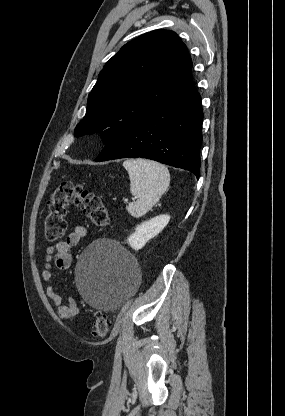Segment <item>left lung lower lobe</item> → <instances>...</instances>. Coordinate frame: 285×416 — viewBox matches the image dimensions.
Returning <instances> with one entry per match:
<instances>
[{"mask_svg":"<svg viewBox=\"0 0 285 416\" xmlns=\"http://www.w3.org/2000/svg\"><path fill=\"white\" fill-rule=\"evenodd\" d=\"M202 120L201 97L191 81L110 140L95 161L142 157L186 169L198 178Z\"/></svg>","mask_w":285,"mask_h":416,"instance_id":"obj_1","label":"left lung lower lobe"}]
</instances>
